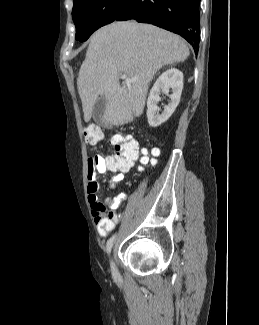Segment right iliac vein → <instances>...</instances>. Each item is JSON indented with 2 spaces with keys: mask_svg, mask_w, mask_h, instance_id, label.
Wrapping results in <instances>:
<instances>
[{
  "mask_svg": "<svg viewBox=\"0 0 259 325\" xmlns=\"http://www.w3.org/2000/svg\"><path fill=\"white\" fill-rule=\"evenodd\" d=\"M111 270H112V274L114 277L118 276V271H117V267L115 265V262L113 260V258H111Z\"/></svg>",
  "mask_w": 259,
  "mask_h": 325,
  "instance_id": "obj_1",
  "label": "right iliac vein"
}]
</instances>
